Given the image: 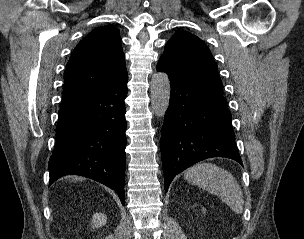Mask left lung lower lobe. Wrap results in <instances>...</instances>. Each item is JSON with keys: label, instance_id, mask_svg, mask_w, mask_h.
I'll return each instance as SVG.
<instances>
[{"label": "left lung lower lobe", "instance_id": "left-lung-lower-lobe-1", "mask_svg": "<svg viewBox=\"0 0 304 239\" xmlns=\"http://www.w3.org/2000/svg\"><path fill=\"white\" fill-rule=\"evenodd\" d=\"M157 70L168 74L171 85L160 139L165 191L178 173L201 160L226 157L242 164L224 96L192 82L162 61Z\"/></svg>", "mask_w": 304, "mask_h": 239}]
</instances>
